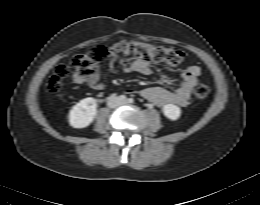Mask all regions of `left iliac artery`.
<instances>
[{
    "instance_id": "obj_1",
    "label": "left iliac artery",
    "mask_w": 260,
    "mask_h": 205,
    "mask_svg": "<svg viewBox=\"0 0 260 205\" xmlns=\"http://www.w3.org/2000/svg\"><path fill=\"white\" fill-rule=\"evenodd\" d=\"M128 102H129V103H133V102H134V99H133V98H129V99H128Z\"/></svg>"
}]
</instances>
